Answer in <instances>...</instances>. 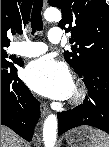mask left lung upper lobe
Masks as SVG:
<instances>
[{"mask_svg": "<svg viewBox=\"0 0 109 147\" xmlns=\"http://www.w3.org/2000/svg\"><path fill=\"white\" fill-rule=\"evenodd\" d=\"M61 9L59 26L71 32L65 60L80 76L93 61L109 62V5L105 0H49Z\"/></svg>", "mask_w": 109, "mask_h": 147, "instance_id": "obj_1", "label": "left lung upper lobe"}]
</instances>
